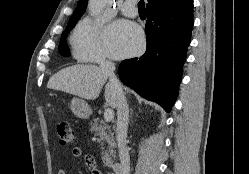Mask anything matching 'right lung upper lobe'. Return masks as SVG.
<instances>
[{
    "label": "right lung upper lobe",
    "mask_w": 249,
    "mask_h": 174,
    "mask_svg": "<svg viewBox=\"0 0 249 174\" xmlns=\"http://www.w3.org/2000/svg\"><path fill=\"white\" fill-rule=\"evenodd\" d=\"M174 1H177V0H148V4L146 5L147 10L152 9V8H156V7H159L163 4H168V3H171ZM87 2H88V0H80L78 2L77 8L75 9L73 15L71 16L69 22H75V21H78L80 19L82 14L85 12Z\"/></svg>",
    "instance_id": "cb5924a9"
}]
</instances>
